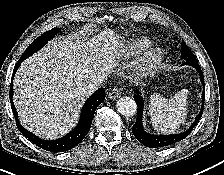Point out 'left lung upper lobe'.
I'll return each mask as SVG.
<instances>
[{
  "instance_id": "left-lung-upper-lobe-1",
  "label": "left lung upper lobe",
  "mask_w": 224,
  "mask_h": 175,
  "mask_svg": "<svg viewBox=\"0 0 224 175\" xmlns=\"http://www.w3.org/2000/svg\"><path fill=\"white\" fill-rule=\"evenodd\" d=\"M181 55L182 58L188 63H198L197 59L191 52V50L186 46L185 42L181 43Z\"/></svg>"
}]
</instances>
